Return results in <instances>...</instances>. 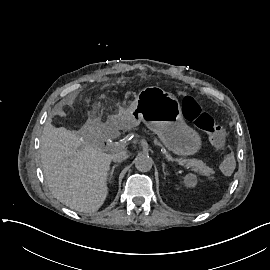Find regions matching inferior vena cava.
<instances>
[{
	"instance_id": "1",
	"label": "inferior vena cava",
	"mask_w": 270,
	"mask_h": 270,
	"mask_svg": "<svg viewBox=\"0 0 270 270\" xmlns=\"http://www.w3.org/2000/svg\"><path fill=\"white\" fill-rule=\"evenodd\" d=\"M129 157L128 153L126 151H121L119 153L112 155V160L114 162H122L126 160Z\"/></svg>"
}]
</instances>
